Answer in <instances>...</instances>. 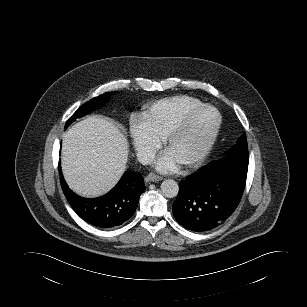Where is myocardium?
<instances>
[{
    "label": "myocardium",
    "instance_id": "obj_1",
    "mask_svg": "<svg viewBox=\"0 0 307 307\" xmlns=\"http://www.w3.org/2000/svg\"><path fill=\"white\" fill-rule=\"evenodd\" d=\"M202 109H209L213 111L216 115V123L212 129V131L209 133L205 141L202 143V145L197 149L195 153H193L188 159L181 162L180 164L183 166H193L199 162H201L210 152L212 149L217 136L219 134L221 124H222V117L219 112V110L214 107L213 105L206 104V103H200L198 105H195L188 109L178 120V122L175 124V126L168 132L166 137L163 140V145L165 150L167 151L170 144L177 139L185 130L190 118L199 110Z\"/></svg>",
    "mask_w": 307,
    "mask_h": 307
}]
</instances>
